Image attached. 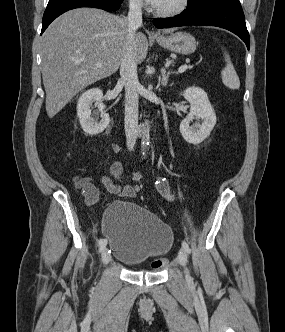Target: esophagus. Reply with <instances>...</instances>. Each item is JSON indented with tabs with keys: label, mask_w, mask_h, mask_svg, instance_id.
I'll use <instances>...</instances> for the list:
<instances>
[{
	"label": "esophagus",
	"mask_w": 285,
	"mask_h": 332,
	"mask_svg": "<svg viewBox=\"0 0 285 332\" xmlns=\"http://www.w3.org/2000/svg\"><path fill=\"white\" fill-rule=\"evenodd\" d=\"M152 36L157 37L158 33L157 32H152Z\"/></svg>",
	"instance_id": "esophagus-1"
}]
</instances>
